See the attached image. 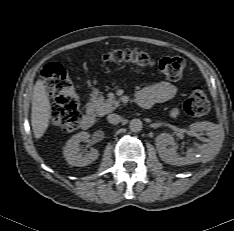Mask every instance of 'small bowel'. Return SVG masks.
Listing matches in <instances>:
<instances>
[{
	"label": "small bowel",
	"instance_id": "c3829d8e",
	"mask_svg": "<svg viewBox=\"0 0 234 231\" xmlns=\"http://www.w3.org/2000/svg\"><path fill=\"white\" fill-rule=\"evenodd\" d=\"M177 89L176 87L168 82L161 81L157 82L153 85L144 87L137 94V98L150 104L151 107L157 103H164L172 100L176 95ZM179 113L178 108H172L170 111V115L172 117H176Z\"/></svg>",
	"mask_w": 234,
	"mask_h": 231
}]
</instances>
